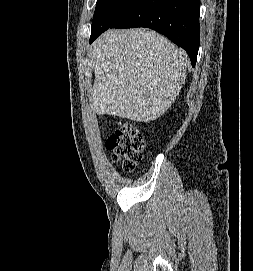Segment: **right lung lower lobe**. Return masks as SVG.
Here are the masks:
<instances>
[{"mask_svg": "<svg viewBox=\"0 0 253 271\" xmlns=\"http://www.w3.org/2000/svg\"><path fill=\"white\" fill-rule=\"evenodd\" d=\"M200 0H133L109 28H151L182 47L196 64ZM102 32L91 34L90 43Z\"/></svg>", "mask_w": 253, "mask_h": 271, "instance_id": "obj_1", "label": "right lung lower lobe"}]
</instances>
